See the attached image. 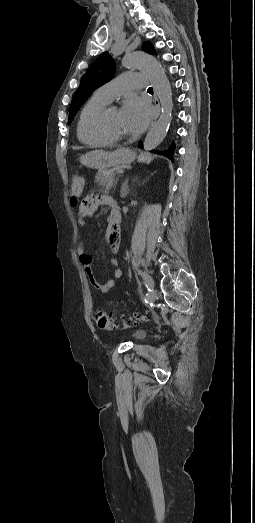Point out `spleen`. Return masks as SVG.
<instances>
[{
  "instance_id": "obj_1",
  "label": "spleen",
  "mask_w": 255,
  "mask_h": 523,
  "mask_svg": "<svg viewBox=\"0 0 255 523\" xmlns=\"http://www.w3.org/2000/svg\"><path fill=\"white\" fill-rule=\"evenodd\" d=\"M140 160H141V162H146V164H150L152 158H151V156H148V154H147V156H142V158H140Z\"/></svg>"
}]
</instances>
